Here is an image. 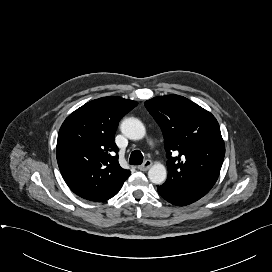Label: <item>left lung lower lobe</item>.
I'll return each mask as SVG.
<instances>
[{"label":"left lung lower lobe","instance_id":"0a47b994","mask_svg":"<svg viewBox=\"0 0 272 272\" xmlns=\"http://www.w3.org/2000/svg\"><path fill=\"white\" fill-rule=\"evenodd\" d=\"M212 187L199 186L192 183L180 185L177 188L169 187L166 184L159 186L158 193L168 202L177 206H185L191 204L204 195H206Z\"/></svg>","mask_w":272,"mask_h":272}]
</instances>
